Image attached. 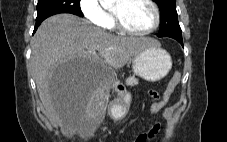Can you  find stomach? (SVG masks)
I'll return each instance as SVG.
<instances>
[{
  "instance_id": "stomach-1",
  "label": "stomach",
  "mask_w": 227,
  "mask_h": 142,
  "mask_svg": "<svg viewBox=\"0 0 227 142\" xmlns=\"http://www.w3.org/2000/svg\"><path fill=\"white\" fill-rule=\"evenodd\" d=\"M172 67L169 53L160 45L152 44L137 53L132 59V70L136 76L148 82H156L164 78ZM131 96L128 92L121 94L110 107L111 116L122 119L126 116Z\"/></svg>"
}]
</instances>
